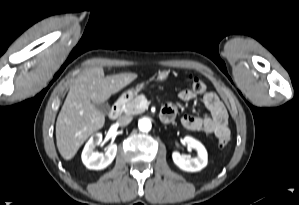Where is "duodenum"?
I'll use <instances>...</instances> for the list:
<instances>
[{"label":"duodenum","instance_id":"1","mask_svg":"<svg viewBox=\"0 0 299 205\" xmlns=\"http://www.w3.org/2000/svg\"><path fill=\"white\" fill-rule=\"evenodd\" d=\"M125 101H126V98L123 97V98L119 99L117 102H115V104L112 106L111 111L109 113V117L111 119L118 118V116L122 112V108H123ZM161 119L164 122H169L171 120V117L169 114H167L165 112H161Z\"/></svg>","mask_w":299,"mask_h":205}]
</instances>
